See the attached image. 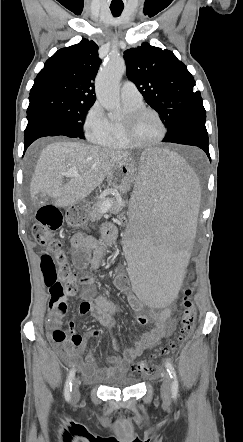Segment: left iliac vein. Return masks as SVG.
I'll use <instances>...</instances> for the list:
<instances>
[{"instance_id": "4c4485c4", "label": "left iliac vein", "mask_w": 243, "mask_h": 442, "mask_svg": "<svg viewBox=\"0 0 243 442\" xmlns=\"http://www.w3.org/2000/svg\"><path fill=\"white\" fill-rule=\"evenodd\" d=\"M162 375H163V382L161 385V396L165 402H169L171 395V378L166 371H163Z\"/></svg>"}]
</instances>
